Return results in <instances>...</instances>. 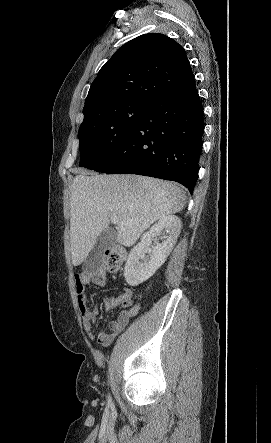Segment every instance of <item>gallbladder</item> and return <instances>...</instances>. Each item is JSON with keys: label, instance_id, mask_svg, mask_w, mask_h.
Returning <instances> with one entry per match:
<instances>
[{"label": "gallbladder", "instance_id": "1", "mask_svg": "<svg viewBox=\"0 0 271 443\" xmlns=\"http://www.w3.org/2000/svg\"><path fill=\"white\" fill-rule=\"evenodd\" d=\"M116 233L112 229H105L100 235L93 247V251L89 252L90 260H82V269H86L88 273H97L99 269H106V260L109 259V252L106 249L116 245Z\"/></svg>", "mask_w": 271, "mask_h": 443}]
</instances>
